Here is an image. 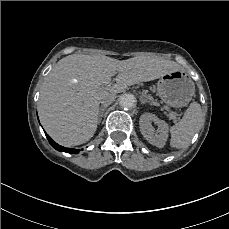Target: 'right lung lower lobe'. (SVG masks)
I'll list each match as a JSON object with an SVG mask.
<instances>
[{"label":"right lung lower lobe","mask_w":229,"mask_h":229,"mask_svg":"<svg viewBox=\"0 0 229 229\" xmlns=\"http://www.w3.org/2000/svg\"><path fill=\"white\" fill-rule=\"evenodd\" d=\"M45 135H46L49 143L51 144V146L53 148H55L56 150L61 151V152H68V153H71V154H77L79 152L78 149L65 148V147L57 144L46 132H45Z\"/></svg>","instance_id":"1"}]
</instances>
